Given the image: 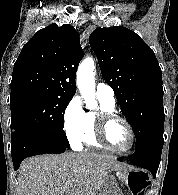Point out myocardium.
<instances>
[{"label": "myocardium", "instance_id": "f54148a6", "mask_svg": "<svg viewBox=\"0 0 178 195\" xmlns=\"http://www.w3.org/2000/svg\"><path fill=\"white\" fill-rule=\"evenodd\" d=\"M123 123L131 137L130 146L126 149H118L113 147L107 139V129L109 125L113 122ZM95 136L97 141L102 145V147L115 152V153H129L135 146L136 135L132 125L123 117L119 116L115 112L111 111H100L96 115V127H95Z\"/></svg>", "mask_w": 178, "mask_h": 195}]
</instances>
